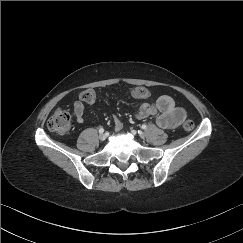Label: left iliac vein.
<instances>
[{"label":"left iliac vein","mask_w":243,"mask_h":243,"mask_svg":"<svg viewBox=\"0 0 243 243\" xmlns=\"http://www.w3.org/2000/svg\"><path fill=\"white\" fill-rule=\"evenodd\" d=\"M139 136H140L141 138H143L145 135H144L143 132H140V133H139Z\"/></svg>","instance_id":"4c4485c4"}]
</instances>
